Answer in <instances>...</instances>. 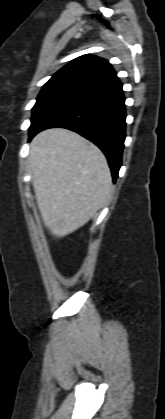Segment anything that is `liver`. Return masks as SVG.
Returning a JSON list of instances; mask_svg holds the SVG:
<instances>
[{
  "label": "liver",
  "mask_w": 165,
  "mask_h": 419,
  "mask_svg": "<svg viewBox=\"0 0 165 419\" xmlns=\"http://www.w3.org/2000/svg\"><path fill=\"white\" fill-rule=\"evenodd\" d=\"M29 160L37 206L52 235L74 232L108 203L112 177L106 157L79 134L62 128L40 132Z\"/></svg>",
  "instance_id": "obj_1"
}]
</instances>
